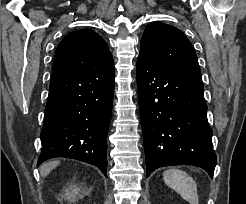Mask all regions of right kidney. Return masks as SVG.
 Segmentation results:
<instances>
[{
	"label": "right kidney",
	"mask_w": 246,
	"mask_h": 204,
	"mask_svg": "<svg viewBox=\"0 0 246 204\" xmlns=\"http://www.w3.org/2000/svg\"><path fill=\"white\" fill-rule=\"evenodd\" d=\"M78 191H79L78 188H74V190L72 191V193L71 192H67L66 193L67 199L72 200V198H74L78 194Z\"/></svg>",
	"instance_id": "ca27d5eb"
}]
</instances>
